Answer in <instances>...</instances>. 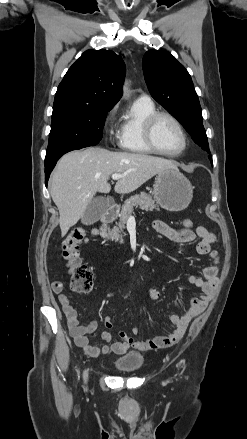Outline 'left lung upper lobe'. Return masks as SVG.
Instances as JSON below:
<instances>
[{
  "label": "left lung upper lobe",
  "mask_w": 247,
  "mask_h": 439,
  "mask_svg": "<svg viewBox=\"0 0 247 439\" xmlns=\"http://www.w3.org/2000/svg\"><path fill=\"white\" fill-rule=\"evenodd\" d=\"M143 72L152 97L177 118L196 144L210 153L199 99L184 66L169 52L149 50L143 57ZM209 159L212 161L211 156Z\"/></svg>",
  "instance_id": "left-lung-upper-lobe-1"
}]
</instances>
